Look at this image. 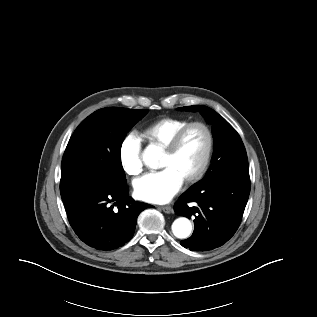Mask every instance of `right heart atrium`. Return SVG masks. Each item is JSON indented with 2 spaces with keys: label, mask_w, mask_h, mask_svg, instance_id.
Listing matches in <instances>:
<instances>
[{
  "label": "right heart atrium",
  "mask_w": 317,
  "mask_h": 317,
  "mask_svg": "<svg viewBox=\"0 0 317 317\" xmlns=\"http://www.w3.org/2000/svg\"><path fill=\"white\" fill-rule=\"evenodd\" d=\"M142 148L139 139L133 135H127L120 143L118 160L122 170L131 176L140 174L143 170Z\"/></svg>",
  "instance_id": "d8ad5b80"
}]
</instances>
